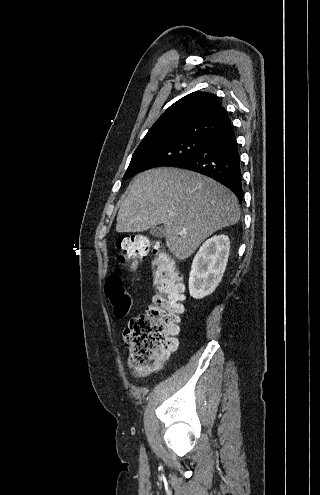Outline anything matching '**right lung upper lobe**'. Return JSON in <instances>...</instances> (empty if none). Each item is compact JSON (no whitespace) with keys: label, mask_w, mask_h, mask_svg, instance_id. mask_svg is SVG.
<instances>
[{"label":"right lung upper lobe","mask_w":320,"mask_h":495,"mask_svg":"<svg viewBox=\"0 0 320 495\" xmlns=\"http://www.w3.org/2000/svg\"><path fill=\"white\" fill-rule=\"evenodd\" d=\"M231 124L219 98L208 92L190 93L171 105L149 129L139 146L185 138L206 139Z\"/></svg>","instance_id":"1"}]
</instances>
